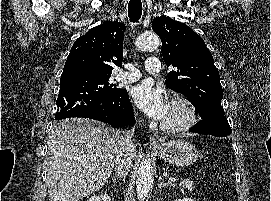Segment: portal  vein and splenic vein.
Wrapping results in <instances>:
<instances>
[{"mask_svg": "<svg viewBox=\"0 0 271 201\" xmlns=\"http://www.w3.org/2000/svg\"><path fill=\"white\" fill-rule=\"evenodd\" d=\"M177 179L176 178H169L168 181L169 182H175Z\"/></svg>", "mask_w": 271, "mask_h": 201, "instance_id": "obj_1", "label": "portal vein and splenic vein"}]
</instances>
